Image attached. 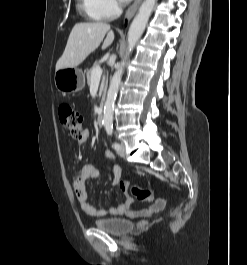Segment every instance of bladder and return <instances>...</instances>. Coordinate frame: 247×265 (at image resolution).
I'll list each match as a JSON object with an SVG mask.
<instances>
[{
  "mask_svg": "<svg viewBox=\"0 0 247 265\" xmlns=\"http://www.w3.org/2000/svg\"><path fill=\"white\" fill-rule=\"evenodd\" d=\"M94 227L114 236H125L135 229V224L122 218L99 219L93 221Z\"/></svg>",
  "mask_w": 247,
  "mask_h": 265,
  "instance_id": "1",
  "label": "bladder"
}]
</instances>
